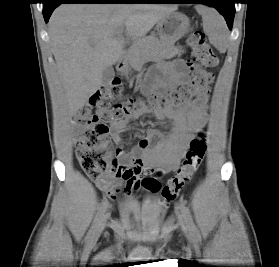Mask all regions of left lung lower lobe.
Returning <instances> with one entry per match:
<instances>
[{
	"label": "left lung lower lobe",
	"instance_id": "obj_1",
	"mask_svg": "<svg viewBox=\"0 0 279 267\" xmlns=\"http://www.w3.org/2000/svg\"><path fill=\"white\" fill-rule=\"evenodd\" d=\"M148 3H200L216 8L221 13L229 27L232 29L235 15V0H151Z\"/></svg>",
	"mask_w": 279,
	"mask_h": 267
}]
</instances>
